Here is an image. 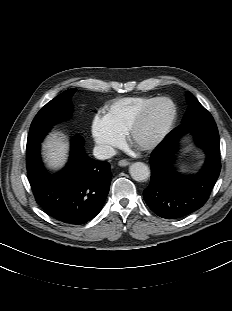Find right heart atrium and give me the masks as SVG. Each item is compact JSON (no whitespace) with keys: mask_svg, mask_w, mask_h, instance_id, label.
Returning <instances> with one entry per match:
<instances>
[{"mask_svg":"<svg viewBox=\"0 0 232 311\" xmlns=\"http://www.w3.org/2000/svg\"><path fill=\"white\" fill-rule=\"evenodd\" d=\"M94 142L105 155L112 154L122 144V136L116 133L102 116H95L91 125Z\"/></svg>","mask_w":232,"mask_h":311,"instance_id":"right-heart-atrium-1","label":"right heart atrium"}]
</instances>
